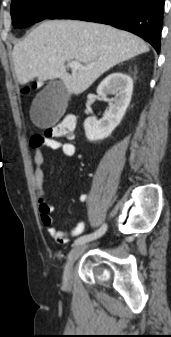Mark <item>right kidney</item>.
I'll return each instance as SVG.
<instances>
[{"mask_svg": "<svg viewBox=\"0 0 171 337\" xmlns=\"http://www.w3.org/2000/svg\"><path fill=\"white\" fill-rule=\"evenodd\" d=\"M132 92L133 80L121 72L110 74L100 83L97 94L104 101L111 103L102 119L97 120L95 117H89L84 121V130L89 141L105 139L113 132L125 115ZM108 95H114V98L108 99Z\"/></svg>", "mask_w": 171, "mask_h": 337, "instance_id": "ca27d5eb", "label": "right kidney"}]
</instances>
